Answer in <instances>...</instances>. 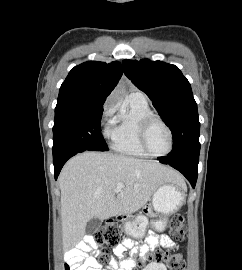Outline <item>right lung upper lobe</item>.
<instances>
[{"mask_svg": "<svg viewBox=\"0 0 242 270\" xmlns=\"http://www.w3.org/2000/svg\"><path fill=\"white\" fill-rule=\"evenodd\" d=\"M122 76L119 62L88 61L74 67L62 83L56 107L103 106Z\"/></svg>", "mask_w": 242, "mask_h": 270, "instance_id": "right-lung-upper-lobe-1", "label": "right lung upper lobe"}]
</instances>
